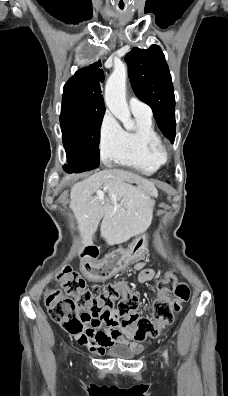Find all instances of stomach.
<instances>
[{
  "mask_svg": "<svg viewBox=\"0 0 228 396\" xmlns=\"http://www.w3.org/2000/svg\"><path fill=\"white\" fill-rule=\"evenodd\" d=\"M148 201L153 209L155 200L152 196L148 195ZM147 246L148 237L147 234L143 232L132 240V242L128 245L127 249H120L119 251L126 253V256L129 260H137L146 254Z\"/></svg>",
  "mask_w": 228,
  "mask_h": 396,
  "instance_id": "obj_1",
  "label": "stomach"
}]
</instances>
